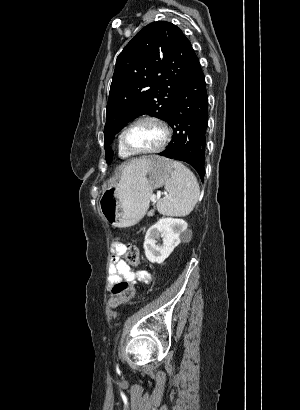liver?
<instances>
[{"instance_id": "obj_1", "label": "liver", "mask_w": 300, "mask_h": 410, "mask_svg": "<svg viewBox=\"0 0 300 410\" xmlns=\"http://www.w3.org/2000/svg\"><path fill=\"white\" fill-rule=\"evenodd\" d=\"M147 161V158H140V159H134L132 160L127 166L128 167H135L137 165H144Z\"/></svg>"}]
</instances>
